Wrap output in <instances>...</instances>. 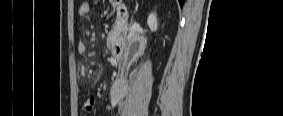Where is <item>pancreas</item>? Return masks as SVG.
Instances as JSON below:
<instances>
[{"label":"pancreas","mask_w":283,"mask_h":116,"mask_svg":"<svg viewBox=\"0 0 283 116\" xmlns=\"http://www.w3.org/2000/svg\"><path fill=\"white\" fill-rule=\"evenodd\" d=\"M127 33V29H121L117 25H113L111 31L108 33L107 36V47L109 49L113 48L117 39L120 36H124Z\"/></svg>","instance_id":"pancreas-1"}]
</instances>
